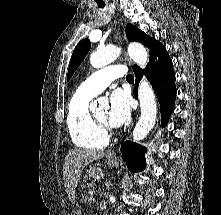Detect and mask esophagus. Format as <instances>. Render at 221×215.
<instances>
[{
    "label": "esophagus",
    "mask_w": 221,
    "mask_h": 215,
    "mask_svg": "<svg viewBox=\"0 0 221 215\" xmlns=\"http://www.w3.org/2000/svg\"><path fill=\"white\" fill-rule=\"evenodd\" d=\"M124 57H125V60H126V61L130 62V61H129V58H128V55H127L126 52L124 53ZM108 156H109V157H116L115 151H114V150H113V151H110V152L108 153Z\"/></svg>",
    "instance_id": "esophagus-1"
}]
</instances>
